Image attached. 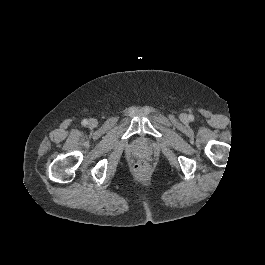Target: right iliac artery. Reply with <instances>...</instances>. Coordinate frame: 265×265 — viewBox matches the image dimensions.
<instances>
[{"instance_id":"right-iliac-artery-1","label":"right iliac artery","mask_w":265,"mask_h":265,"mask_svg":"<svg viewBox=\"0 0 265 265\" xmlns=\"http://www.w3.org/2000/svg\"><path fill=\"white\" fill-rule=\"evenodd\" d=\"M88 124V120L87 119H84L83 121H82V125L83 126H86Z\"/></svg>"}]
</instances>
